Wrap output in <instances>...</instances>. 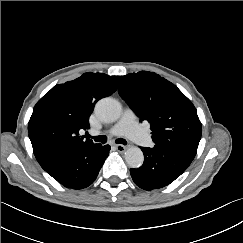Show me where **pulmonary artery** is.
Returning <instances> with one entry per match:
<instances>
[{
    "label": "pulmonary artery",
    "instance_id": "obj_1",
    "mask_svg": "<svg viewBox=\"0 0 243 243\" xmlns=\"http://www.w3.org/2000/svg\"><path fill=\"white\" fill-rule=\"evenodd\" d=\"M93 135H98L100 132L92 131ZM108 135L119 136L126 135L135 141H141L145 143L148 140L147 134L138 125L136 116L132 110L127 109L121 120L115 124L111 129L106 132Z\"/></svg>",
    "mask_w": 243,
    "mask_h": 243
}]
</instances>
